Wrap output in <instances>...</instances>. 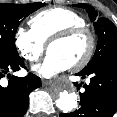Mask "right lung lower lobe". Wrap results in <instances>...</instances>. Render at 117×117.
<instances>
[{"label":"right lung lower lobe","instance_id":"obj_1","mask_svg":"<svg viewBox=\"0 0 117 117\" xmlns=\"http://www.w3.org/2000/svg\"><path fill=\"white\" fill-rule=\"evenodd\" d=\"M23 67L20 57L0 60V80L5 75L9 78L5 86L0 84V117H23L28 108L29 93L41 86V79L32 73L22 78L8 74Z\"/></svg>","mask_w":117,"mask_h":117}]
</instances>
